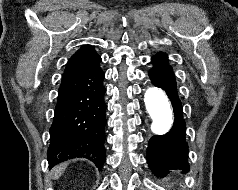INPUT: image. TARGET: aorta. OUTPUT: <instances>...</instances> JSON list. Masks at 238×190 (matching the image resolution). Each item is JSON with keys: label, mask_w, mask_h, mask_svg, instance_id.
I'll list each match as a JSON object with an SVG mask.
<instances>
[{"label": "aorta", "mask_w": 238, "mask_h": 190, "mask_svg": "<svg viewBox=\"0 0 238 190\" xmlns=\"http://www.w3.org/2000/svg\"><path fill=\"white\" fill-rule=\"evenodd\" d=\"M144 102L152 118V131L158 135L166 133L172 125L173 113L165 92L158 87L149 86L144 94Z\"/></svg>", "instance_id": "aorta-1"}]
</instances>
